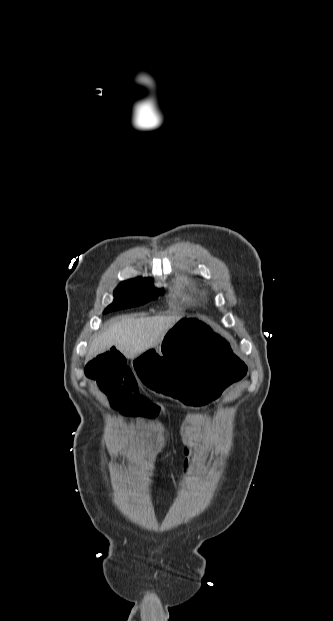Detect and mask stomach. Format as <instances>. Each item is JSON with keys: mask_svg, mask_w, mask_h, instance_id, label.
<instances>
[{"mask_svg": "<svg viewBox=\"0 0 333 621\" xmlns=\"http://www.w3.org/2000/svg\"><path fill=\"white\" fill-rule=\"evenodd\" d=\"M225 338L204 316L185 317L168 330L158 350L147 344L132 368L147 394L213 409L216 403L209 399L226 395L248 371L240 353L229 354Z\"/></svg>", "mask_w": 333, "mask_h": 621, "instance_id": "stomach-1", "label": "stomach"}]
</instances>
